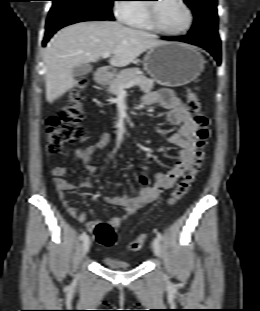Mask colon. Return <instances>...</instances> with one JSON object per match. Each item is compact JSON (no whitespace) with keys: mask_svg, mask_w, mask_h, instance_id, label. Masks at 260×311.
<instances>
[{"mask_svg":"<svg viewBox=\"0 0 260 311\" xmlns=\"http://www.w3.org/2000/svg\"><path fill=\"white\" fill-rule=\"evenodd\" d=\"M85 79L78 80V87L69 94L67 104L60 112L50 117L46 124L47 151L51 154L58 153L66 143L78 141L83 135V127L80 122L83 119L84 108L81 102V89L85 86ZM187 109L193 114L197 125V142L194 162L189 172L176 185L171 193L168 203L175 204L183 198L189 191L191 184L206 160V149L210 138V122L208 116L200 110V102L196 93L189 90L187 93ZM94 236L99 244L103 246H112L116 243L117 235L115 227L110 222H100L96 224L93 230ZM146 242V235L141 234L131 241L128 249L132 252L139 251Z\"/></svg>","mask_w":260,"mask_h":311,"instance_id":"5ec220e1","label":"colon"}]
</instances>
